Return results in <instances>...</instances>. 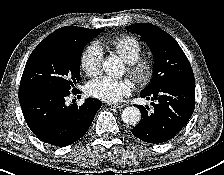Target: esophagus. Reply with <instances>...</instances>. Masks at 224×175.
Instances as JSON below:
<instances>
[{
	"mask_svg": "<svg viewBox=\"0 0 224 175\" xmlns=\"http://www.w3.org/2000/svg\"><path fill=\"white\" fill-rule=\"evenodd\" d=\"M108 106L111 107V108L121 109V108L124 107V104H122V103H109Z\"/></svg>",
	"mask_w": 224,
	"mask_h": 175,
	"instance_id": "esophagus-1",
	"label": "esophagus"
}]
</instances>
